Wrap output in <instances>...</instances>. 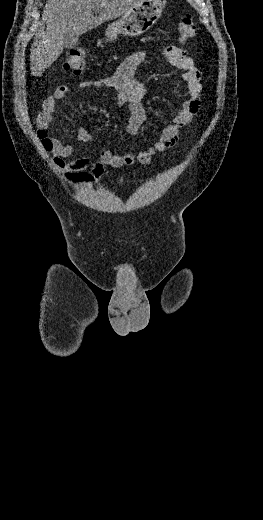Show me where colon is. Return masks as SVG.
<instances>
[{
  "label": "colon",
  "mask_w": 263,
  "mask_h": 520,
  "mask_svg": "<svg viewBox=\"0 0 263 520\" xmlns=\"http://www.w3.org/2000/svg\"><path fill=\"white\" fill-rule=\"evenodd\" d=\"M197 32L196 23L190 14H186L178 25L179 39L181 42H187L192 39ZM63 67L66 71L72 72L75 75L81 74L86 68L85 52L83 49H74L70 52L66 60L64 61ZM38 134L42 139V142L46 149L51 148V142L46 137V133L43 130H39Z\"/></svg>",
  "instance_id": "colon-1"
}]
</instances>
